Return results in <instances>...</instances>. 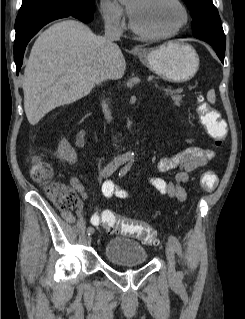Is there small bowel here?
Listing matches in <instances>:
<instances>
[{
    "mask_svg": "<svg viewBox=\"0 0 245 319\" xmlns=\"http://www.w3.org/2000/svg\"><path fill=\"white\" fill-rule=\"evenodd\" d=\"M212 156L213 152L208 149L199 147H188L182 149L173 155L163 157L157 161L156 168L159 172L165 175V178L152 176L149 177L148 182L159 193L169 197L170 199L182 202L187 197L184 183L188 181L192 173L201 169ZM105 182L107 184V191L103 194L107 198L115 197L121 200L130 199L131 195L129 192L120 188L111 180ZM71 185L81 195L82 199L85 200L87 194L83 185L76 178L71 180ZM103 212L100 208H97L91 216V223L94 226H100ZM62 216L68 222L75 221V217L70 212H62Z\"/></svg>",
    "mask_w": 245,
    "mask_h": 319,
    "instance_id": "obj_1",
    "label": "small bowel"
}]
</instances>
